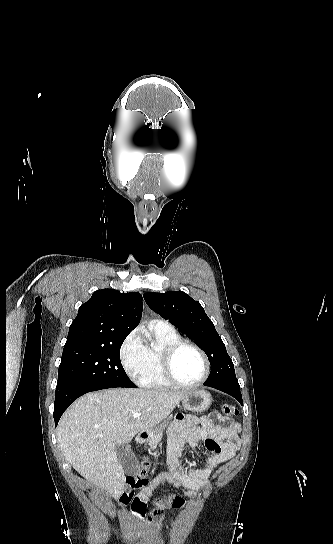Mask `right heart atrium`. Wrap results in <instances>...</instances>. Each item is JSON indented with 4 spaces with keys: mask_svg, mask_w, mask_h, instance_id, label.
<instances>
[{
    "mask_svg": "<svg viewBox=\"0 0 333 544\" xmlns=\"http://www.w3.org/2000/svg\"><path fill=\"white\" fill-rule=\"evenodd\" d=\"M119 361L126 375L138 382L143 369L144 344L136 330L131 331L119 349Z\"/></svg>",
    "mask_w": 333,
    "mask_h": 544,
    "instance_id": "d8ad5b80",
    "label": "right heart atrium"
}]
</instances>
